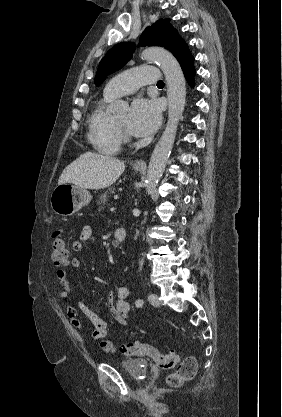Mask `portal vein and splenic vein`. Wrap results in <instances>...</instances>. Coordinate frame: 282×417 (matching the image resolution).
Returning a JSON list of instances; mask_svg holds the SVG:
<instances>
[{
    "label": "portal vein and splenic vein",
    "instance_id": "portal-vein-and-splenic-vein-1",
    "mask_svg": "<svg viewBox=\"0 0 282 417\" xmlns=\"http://www.w3.org/2000/svg\"><path fill=\"white\" fill-rule=\"evenodd\" d=\"M113 199L114 200H121L122 199V196L121 195H114L113 196Z\"/></svg>",
    "mask_w": 282,
    "mask_h": 417
}]
</instances>
